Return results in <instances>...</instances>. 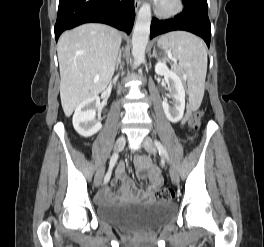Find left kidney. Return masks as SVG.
I'll return each instance as SVG.
<instances>
[{"mask_svg":"<svg viewBox=\"0 0 264 247\" xmlns=\"http://www.w3.org/2000/svg\"><path fill=\"white\" fill-rule=\"evenodd\" d=\"M155 73L164 76L170 97H172V101L163 100L162 102L165 115L170 122L177 123L182 119L185 110V89L182 80L163 61L156 63Z\"/></svg>","mask_w":264,"mask_h":247,"instance_id":"1","label":"left kidney"}]
</instances>
